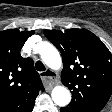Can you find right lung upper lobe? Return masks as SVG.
Masks as SVG:
<instances>
[{
	"instance_id": "1",
	"label": "right lung upper lobe",
	"mask_w": 112,
	"mask_h": 112,
	"mask_svg": "<svg viewBox=\"0 0 112 112\" xmlns=\"http://www.w3.org/2000/svg\"><path fill=\"white\" fill-rule=\"evenodd\" d=\"M34 31H0V112H31L39 91H44L31 58L20 50Z\"/></svg>"
}]
</instances>
